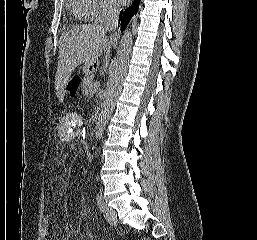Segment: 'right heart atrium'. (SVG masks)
Returning a JSON list of instances; mask_svg holds the SVG:
<instances>
[{"label": "right heart atrium", "mask_w": 257, "mask_h": 240, "mask_svg": "<svg viewBox=\"0 0 257 240\" xmlns=\"http://www.w3.org/2000/svg\"><path fill=\"white\" fill-rule=\"evenodd\" d=\"M94 7L91 19L95 22H103L114 17L118 12V7L114 0H93Z\"/></svg>", "instance_id": "right-heart-atrium-1"}]
</instances>
